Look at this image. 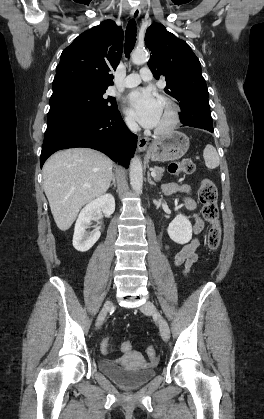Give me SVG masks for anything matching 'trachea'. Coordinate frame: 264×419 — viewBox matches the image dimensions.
I'll list each match as a JSON object with an SVG mask.
<instances>
[{
	"instance_id": "3493384b",
	"label": "trachea",
	"mask_w": 264,
	"mask_h": 419,
	"mask_svg": "<svg viewBox=\"0 0 264 419\" xmlns=\"http://www.w3.org/2000/svg\"><path fill=\"white\" fill-rule=\"evenodd\" d=\"M136 22L135 20H130L127 24L126 34H125V55L129 57L132 49L135 46L136 42Z\"/></svg>"
}]
</instances>
